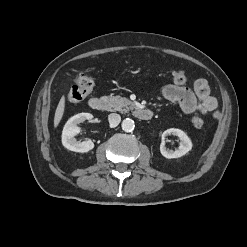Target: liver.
Instances as JSON below:
<instances>
[{"label": "liver", "instance_id": "liver-1", "mask_svg": "<svg viewBox=\"0 0 247 247\" xmlns=\"http://www.w3.org/2000/svg\"><path fill=\"white\" fill-rule=\"evenodd\" d=\"M64 109H65V97L63 96L60 99L59 104H58L56 111H55V116H54V127L55 128L59 125V123L63 117Z\"/></svg>", "mask_w": 247, "mask_h": 247}]
</instances>
